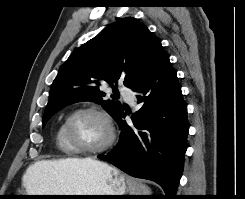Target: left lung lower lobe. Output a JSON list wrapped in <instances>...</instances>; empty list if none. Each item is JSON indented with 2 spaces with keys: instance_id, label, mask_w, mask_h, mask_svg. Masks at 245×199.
<instances>
[{
  "instance_id": "obj_1",
  "label": "left lung lower lobe",
  "mask_w": 245,
  "mask_h": 199,
  "mask_svg": "<svg viewBox=\"0 0 245 199\" xmlns=\"http://www.w3.org/2000/svg\"><path fill=\"white\" fill-rule=\"evenodd\" d=\"M131 89L142 107L124 120V109L115 119L119 143L99 158L127 174L162 186L167 199L174 198L184 167L189 123L187 106L169 56L161 50L146 74Z\"/></svg>"
}]
</instances>
